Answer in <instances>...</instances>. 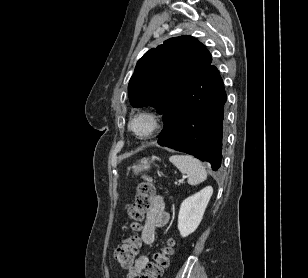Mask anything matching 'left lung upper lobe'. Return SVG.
<instances>
[{"instance_id": "left-lung-upper-lobe-1", "label": "left lung upper lobe", "mask_w": 308, "mask_h": 278, "mask_svg": "<svg viewBox=\"0 0 308 278\" xmlns=\"http://www.w3.org/2000/svg\"><path fill=\"white\" fill-rule=\"evenodd\" d=\"M211 62L210 52L194 37L164 41L137 62L128 85L131 105L152 106L163 114L184 87Z\"/></svg>"}]
</instances>
